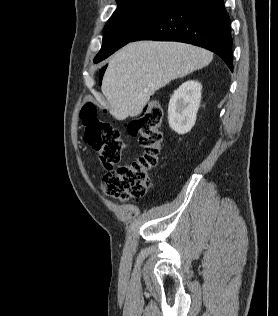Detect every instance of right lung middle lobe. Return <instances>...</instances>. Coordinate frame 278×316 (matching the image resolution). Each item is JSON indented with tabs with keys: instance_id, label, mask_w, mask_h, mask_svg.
<instances>
[{
	"instance_id": "obj_1",
	"label": "right lung middle lobe",
	"mask_w": 278,
	"mask_h": 316,
	"mask_svg": "<svg viewBox=\"0 0 278 316\" xmlns=\"http://www.w3.org/2000/svg\"><path fill=\"white\" fill-rule=\"evenodd\" d=\"M168 0H117L118 7L104 27L100 62L132 41L163 9Z\"/></svg>"
}]
</instances>
